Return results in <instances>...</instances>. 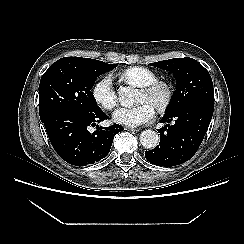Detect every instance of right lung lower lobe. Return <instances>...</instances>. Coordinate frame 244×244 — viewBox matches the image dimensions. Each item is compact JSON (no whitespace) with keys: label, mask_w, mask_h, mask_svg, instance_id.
Instances as JSON below:
<instances>
[{"label":"right lung lower lobe","mask_w":244,"mask_h":244,"mask_svg":"<svg viewBox=\"0 0 244 244\" xmlns=\"http://www.w3.org/2000/svg\"><path fill=\"white\" fill-rule=\"evenodd\" d=\"M107 118L101 109L95 112L67 110L51 113L41 121L57 154L69 164L86 166L106 157L114 136L124 130L118 124L98 125ZM91 126L96 127L93 133L89 131Z\"/></svg>","instance_id":"right-lung-lower-lobe-1"}]
</instances>
